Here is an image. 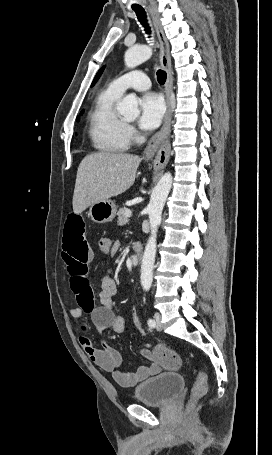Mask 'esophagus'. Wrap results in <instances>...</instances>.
Masks as SVG:
<instances>
[{
	"label": "esophagus",
	"instance_id": "esophagus-1",
	"mask_svg": "<svg viewBox=\"0 0 272 455\" xmlns=\"http://www.w3.org/2000/svg\"><path fill=\"white\" fill-rule=\"evenodd\" d=\"M153 24L157 33L160 47V63L167 72L165 84V95L167 103V112L161 129L150 139L145 151L144 158L150 161L154 168L162 169L168 163L170 156V120H171V93L173 86V76L171 70L170 47L163 31L162 25L155 12L149 8Z\"/></svg>",
	"mask_w": 272,
	"mask_h": 455
}]
</instances>
